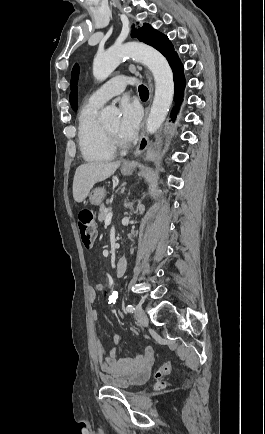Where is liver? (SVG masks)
Listing matches in <instances>:
<instances>
[{
    "instance_id": "obj_1",
    "label": "liver",
    "mask_w": 265,
    "mask_h": 434,
    "mask_svg": "<svg viewBox=\"0 0 265 434\" xmlns=\"http://www.w3.org/2000/svg\"><path fill=\"white\" fill-rule=\"evenodd\" d=\"M121 162H110V164H82L75 172L73 180V198L75 202H83L90 190L97 182H103L110 178Z\"/></svg>"
}]
</instances>
